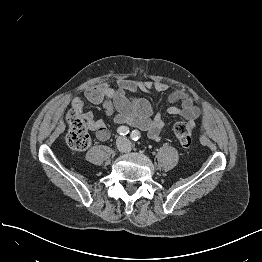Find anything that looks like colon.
Wrapping results in <instances>:
<instances>
[{
	"label": "colon",
	"instance_id": "obj_1",
	"mask_svg": "<svg viewBox=\"0 0 262 262\" xmlns=\"http://www.w3.org/2000/svg\"><path fill=\"white\" fill-rule=\"evenodd\" d=\"M66 122L68 125L66 139L70 147L78 151L87 149L91 143V137L75 109L68 111ZM194 127L195 125L188 121H180L175 124L174 132L183 147L191 146Z\"/></svg>",
	"mask_w": 262,
	"mask_h": 262
}]
</instances>
